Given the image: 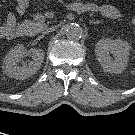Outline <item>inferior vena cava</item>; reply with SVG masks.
Segmentation results:
<instances>
[{"label":"inferior vena cava","mask_w":135,"mask_h":135,"mask_svg":"<svg viewBox=\"0 0 135 135\" xmlns=\"http://www.w3.org/2000/svg\"><path fill=\"white\" fill-rule=\"evenodd\" d=\"M52 31H54V28H49L46 31H44L43 33L46 34V33L52 32Z\"/></svg>","instance_id":"inferior-vena-cava-1"}]
</instances>
